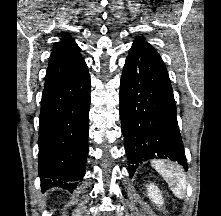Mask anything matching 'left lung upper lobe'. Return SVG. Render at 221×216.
Masks as SVG:
<instances>
[{"label":"left lung upper lobe","mask_w":221,"mask_h":216,"mask_svg":"<svg viewBox=\"0 0 221 216\" xmlns=\"http://www.w3.org/2000/svg\"><path fill=\"white\" fill-rule=\"evenodd\" d=\"M135 41L147 43V42L144 41L142 38H137Z\"/></svg>","instance_id":"obj_1"}]
</instances>
